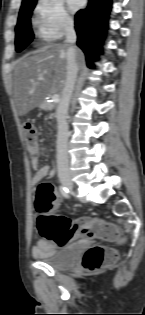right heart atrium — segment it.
<instances>
[{"mask_svg": "<svg viewBox=\"0 0 145 315\" xmlns=\"http://www.w3.org/2000/svg\"><path fill=\"white\" fill-rule=\"evenodd\" d=\"M34 15L39 33L48 39H60L73 30V19L61 0H38Z\"/></svg>", "mask_w": 145, "mask_h": 315, "instance_id": "obj_1", "label": "right heart atrium"}]
</instances>
